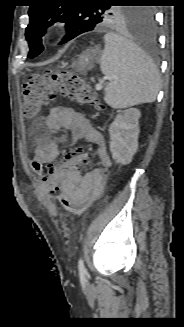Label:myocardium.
I'll list each match as a JSON object with an SVG mask.
<instances>
[{"label":"myocardium","instance_id":"obj_1","mask_svg":"<svg viewBox=\"0 0 184 327\" xmlns=\"http://www.w3.org/2000/svg\"><path fill=\"white\" fill-rule=\"evenodd\" d=\"M55 36H56V31H55V30H49V31L47 32V37H48L49 39H54Z\"/></svg>","mask_w":184,"mask_h":327}]
</instances>
